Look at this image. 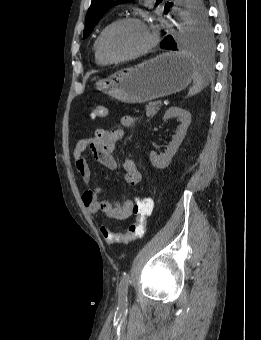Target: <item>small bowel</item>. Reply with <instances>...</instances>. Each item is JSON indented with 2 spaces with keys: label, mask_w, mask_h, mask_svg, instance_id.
Wrapping results in <instances>:
<instances>
[{
  "label": "small bowel",
  "mask_w": 261,
  "mask_h": 340,
  "mask_svg": "<svg viewBox=\"0 0 261 340\" xmlns=\"http://www.w3.org/2000/svg\"><path fill=\"white\" fill-rule=\"evenodd\" d=\"M136 119L126 115L121 118V125L124 128L134 126ZM124 136L122 129L108 130L98 128L94 136L79 140L74 148V165L82 182L88 185L91 181V170L87 160L86 153L92 152L94 157L106 168L115 170L118 167L117 160L114 156V150L117 142ZM123 178L129 185L136 186L141 182V174L136 162L131 158H125L122 162ZM101 188L94 185L87 189L82 200L88 211L95 215L103 213L105 216L115 220H125L129 218L133 211V201L129 198L123 201H107L99 199Z\"/></svg>",
  "instance_id": "1"
}]
</instances>
